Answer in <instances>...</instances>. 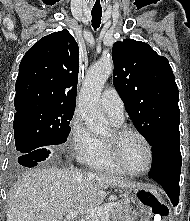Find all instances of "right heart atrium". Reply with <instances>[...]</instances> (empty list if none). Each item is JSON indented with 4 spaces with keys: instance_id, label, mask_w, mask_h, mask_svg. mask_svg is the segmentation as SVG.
<instances>
[{
    "instance_id": "1",
    "label": "right heart atrium",
    "mask_w": 190,
    "mask_h": 221,
    "mask_svg": "<svg viewBox=\"0 0 190 221\" xmlns=\"http://www.w3.org/2000/svg\"><path fill=\"white\" fill-rule=\"evenodd\" d=\"M68 143L75 158L82 163H87L96 150L97 138L79 115H73L70 120Z\"/></svg>"
}]
</instances>
